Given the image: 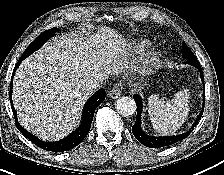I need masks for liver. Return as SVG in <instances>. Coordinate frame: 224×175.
Listing matches in <instances>:
<instances>
[{"label": "liver", "instance_id": "1", "mask_svg": "<svg viewBox=\"0 0 224 175\" xmlns=\"http://www.w3.org/2000/svg\"><path fill=\"white\" fill-rule=\"evenodd\" d=\"M124 43L114 29L101 27L91 36L55 37L26 58L15 73L12 95L22 127L42 140L66 136L88 99L84 86L121 69Z\"/></svg>", "mask_w": 224, "mask_h": 175}]
</instances>
